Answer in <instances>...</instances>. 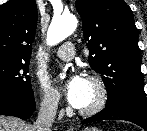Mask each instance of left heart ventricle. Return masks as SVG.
<instances>
[{
  "mask_svg": "<svg viewBox=\"0 0 147 131\" xmlns=\"http://www.w3.org/2000/svg\"><path fill=\"white\" fill-rule=\"evenodd\" d=\"M96 98H97L96 90L88 82V88H87L86 96H85L84 102H83V104L80 108H87V107L91 106L96 101Z\"/></svg>",
  "mask_w": 147,
  "mask_h": 131,
  "instance_id": "obj_1",
  "label": "left heart ventricle"
}]
</instances>
